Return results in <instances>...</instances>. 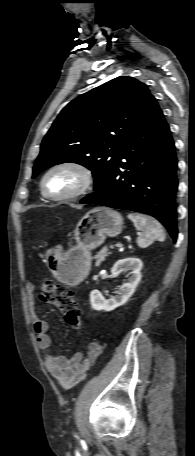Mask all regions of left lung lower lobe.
Masks as SVG:
<instances>
[{
  "instance_id": "1",
  "label": "left lung lower lobe",
  "mask_w": 195,
  "mask_h": 456,
  "mask_svg": "<svg viewBox=\"0 0 195 456\" xmlns=\"http://www.w3.org/2000/svg\"><path fill=\"white\" fill-rule=\"evenodd\" d=\"M175 145L155 100L128 133L100 187L80 203L149 214L177 239Z\"/></svg>"
}]
</instances>
